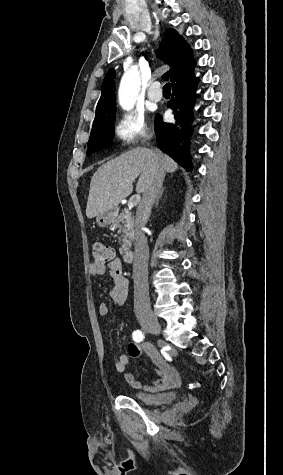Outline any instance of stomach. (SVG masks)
I'll return each instance as SVG.
<instances>
[{
	"label": "stomach",
	"instance_id": "stomach-1",
	"mask_svg": "<svg viewBox=\"0 0 283 475\" xmlns=\"http://www.w3.org/2000/svg\"><path fill=\"white\" fill-rule=\"evenodd\" d=\"M118 216L117 210H107L96 216V222L100 228H106L109 224H113Z\"/></svg>",
	"mask_w": 283,
	"mask_h": 475
}]
</instances>
